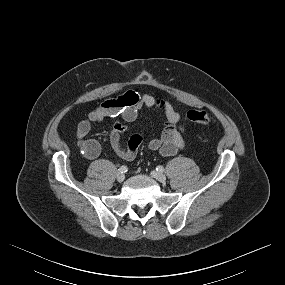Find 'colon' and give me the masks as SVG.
I'll use <instances>...</instances> for the list:
<instances>
[{
	"label": "colon",
	"instance_id": "5ec220e1",
	"mask_svg": "<svg viewBox=\"0 0 285 285\" xmlns=\"http://www.w3.org/2000/svg\"><path fill=\"white\" fill-rule=\"evenodd\" d=\"M187 118L194 124H197L200 126H207L210 124V117L205 111H202V110L188 111Z\"/></svg>",
	"mask_w": 285,
	"mask_h": 285
}]
</instances>
